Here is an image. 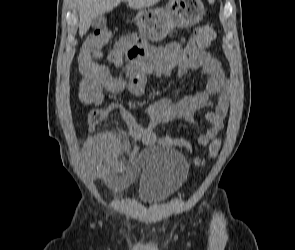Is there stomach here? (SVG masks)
Returning a JSON list of instances; mask_svg holds the SVG:
<instances>
[{"label":"stomach","instance_id":"obj_1","mask_svg":"<svg viewBox=\"0 0 295 250\" xmlns=\"http://www.w3.org/2000/svg\"><path fill=\"white\" fill-rule=\"evenodd\" d=\"M204 14L201 0H169L165 8L140 9L134 20L141 35L151 41H158L175 27L195 25Z\"/></svg>","mask_w":295,"mask_h":250}]
</instances>
